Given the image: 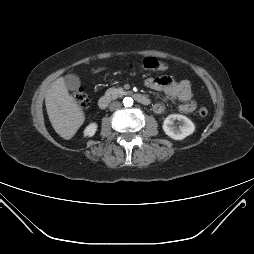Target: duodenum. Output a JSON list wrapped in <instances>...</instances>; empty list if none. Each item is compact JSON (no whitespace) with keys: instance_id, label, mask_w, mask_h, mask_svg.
Returning a JSON list of instances; mask_svg holds the SVG:
<instances>
[{"instance_id":"duodenum-1","label":"duodenum","mask_w":254,"mask_h":254,"mask_svg":"<svg viewBox=\"0 0 254 254\" xmlns=\"http://www.w3.org/2000/svg\"><path fill=\"white\" fill-rule=\"evenodd\" d=\"M130 96H132L135 100H137L142 105L150 104V99L141 93H130ZM112 100H113V97L111 95H104L100 97V99L98 100L99 108L105 109L111 103Z\"/></svg>"}]
</instances>
